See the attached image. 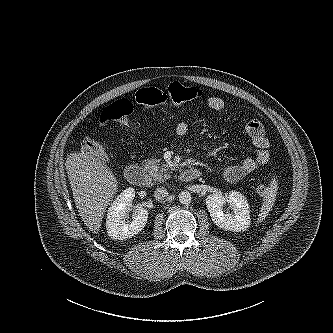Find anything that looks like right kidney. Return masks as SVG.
Masks as SVG:
<instances>
[{
  "label": "right kidney",
  "mask_w": 333,
  "mask_h": 333,
  "mask_svg": "<svg viewBox=\"0 0 333 333\" xmlns=\"http://www.w3.org/2000/svg\"><path fill=\"white\" fill-rule=\"evenodd\" d=\"M134 197L135 190L129 187L117 196L108 209L106 229L108 235L114 240H125L135 236L147 223L148 211L143 208L136 209L132 222L124 221Z\"/></svg>",
  "instance_id": "ca27d5eb"
}]
</instances>
